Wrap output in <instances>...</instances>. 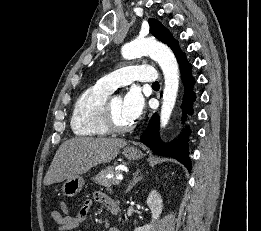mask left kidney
Listing matches in <instances>:
<instances>
[{
	"label": "left kidney",
	"instance_id": "obj_1",
	"mask_svg": "<svg viewBox=\"0 0 261 231\" xmlns=\"http://www.w3.org/2000/svg\"><path fill=\"white\" fill-rule=\"evenodd\" d=\"M148 207L151 210L152 221L150 224H146L143 227L135 228L134 231H151L154 222L159 218L163 209V200L160 194L156 190H152L146 201Z\"/></svg>",
	"mask_w": 261,
	"mask_h": 231
}]
</instances>
